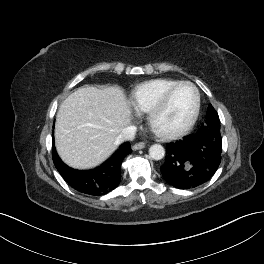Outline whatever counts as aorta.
Masks as SVG:
<instances>
[{
    "instance_id": "aorta-1",
    "label": "aorta",
    "mask_w": 264,
    "mask_h": 264,
    "mask_svg": "<svg viewBox=\"0 0 264 264\" xmlns=\"http://www.w3.org/2000/svg\"><path fill=\"white\" fill-rule=\"evenodd\" d=\"M149 155L154 160H161L165 156V149L160 144H154L149 148Z\"/></svg>"
}]
</instances>
